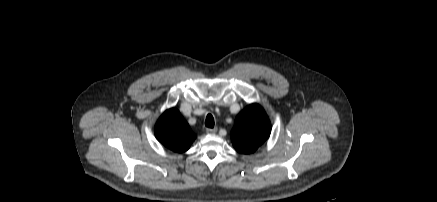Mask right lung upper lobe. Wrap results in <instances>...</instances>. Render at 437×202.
Instances as JSON below:
<instances>
[{"mask_svg": "<svg viewBox=\"0 0 437 202\" xmlns=\"http://www.w3.org/2000/svg\"><path fill=\"white\" fill-rule=\"evenodd\" d=\"M155 136L165 147L174 152H185L196 136L180 112L171 108L166 110L155 125Z\"/></svg>", "mask_w": 437, "mask_h": 202, "instance_id": "cb5924a9", "label": "right lung upper lobe"}]
</instances>
